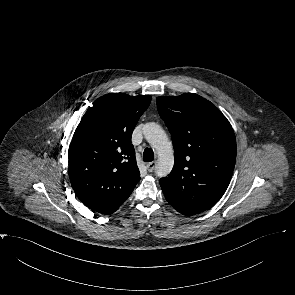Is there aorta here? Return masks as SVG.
Instances as JSON below:
<instances>
[{
  "label": "aorta",
  "mask_w": 295,
  "mask_h": 295,
  "mask_svg": "<svg viewBox=\"0 0 295 295\" xmlns=\"http://www.w3.org/2000/svg\"><path fill=\"white\" fill-rule=\"evenodd\" d=\"M143 134L147 142L158 154L155 173L158 177L167 176L174 165L173 147L163 128L154 122L146 123Z\"/></svg>",
  "instance_id": "762f6f07"
}]
</instances>
